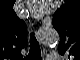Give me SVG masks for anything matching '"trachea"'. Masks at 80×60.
Here are the masks:
<instances>
[{"instance_id": "1", "label": "trachea", "mask_w": 80, "mask_h": 60, "mask_svg": "<svg viewBox=\"0 0 80 60\" xmlns=\"http://www.w3.org/2000/svg\"><path fill=\"white\" fill-rule=\"evenodd\" d=\"M30 54L34 56L40 54V47L36 40V37L34 36V33H31L30 36Z\"/></svg>"}]
</instances>
